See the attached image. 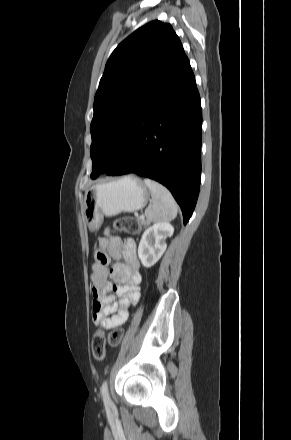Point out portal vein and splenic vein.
<instances>
[{"instance_id":"18ae733b","label":"portal vein and splenic vein","mask_w":291,"mask_h":440,"mask_svg":"<svg viewBox=\"0 0 291 440\" xmlns=\"http://www.w3.org/2000/svg\"><path fill=\"white\" fill-rule=\"evenodd\" d=\"M136 217H137L138 219H144V216H139L138 214H136Z\"/></svg>"}]
</instances>
